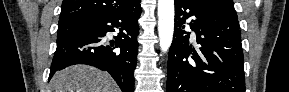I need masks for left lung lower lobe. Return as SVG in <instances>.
Here are the masks:
<instances>
[{
	"label": "left lung lower lobe",
	"mask_w": 289,
	"mask_h": 92,
	"mask_svg": "<svg viewBox=\"0 0 289 92\" xmlns=\"http://www.w3.org/2000/svg\"><path fill=\"white\" fill-rule=\"evenodd\" d=\"M190 17L195 45L183 30ZM243 62L238 19L199 0H175L167 92H245Z\"/></svg>",
	"instance_id": "0a47b994"
}]
</instances>
